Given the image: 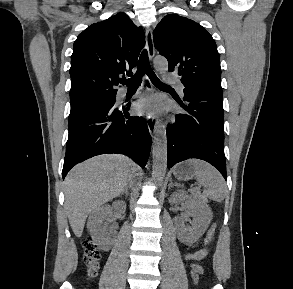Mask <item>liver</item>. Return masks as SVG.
<instances>
[{
  "label": "liver",
  "instance_id": "liver-1",
  "mask_svg": "<svg viewBox=\"0 0 293 289\" xmlns=\"http://www.w3.org/2000/svg\"><path fill=\"white\" fill-rule=\"evenodd\" d=\"M138 166L122 155H101L76 165L64 181L65 209L76 237L97 207L119 196Z\"/></svg>",
  "mask_w": 293,
  "mask_h": 289
}]
</instances>
